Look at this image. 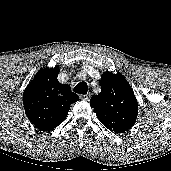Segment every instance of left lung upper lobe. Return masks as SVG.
I'll use <instances>...</instances> for the list:
<instances>
[{
	"label": "left lung upper lobe",
	"instance_id": "5c2ea615",
	"mask_svg": "<svg viewBox=\"0 0 171 171\" xmlns=\"http://www.w3.org/2000/svg\"><path fill=\"white\" fill-rule=\"evenodd\" d=\"M101 92L91 98L100 122L115 133H124L136 121L138 104L126 79L121 74L106 71L101 77Z\"/></svg>",
	"mask_w": 171,
	"mask_h": 171
}]
</instances>
